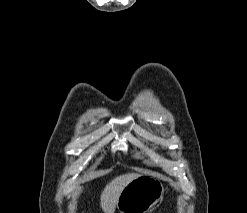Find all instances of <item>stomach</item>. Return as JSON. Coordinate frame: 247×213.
<instances>
[{
  "instance_id": "obj_1",
  "label": "stomach",
  "mask_w": 247,
  "mask_h": 213,
  "mask_svg": "<svg viewBox=\"0 0 247 213\" xmlns=\"http://www.w3.org/2000/svg\"><path fill=\"white\" fill-rule=\"evenodd\" d=\"M163 193L161 181L140 175L124 187L116 205L120 213H147L160 201Z\"/></svg>"
}]
</instances>
